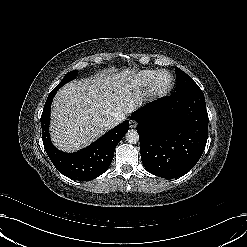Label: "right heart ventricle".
I'll list each match as a JSON object with an SVG mask.
<instances>
[{"instance_id":"1","label":"right heart ventricle","mask_w":247,"mask_h":247,"mask_svg":"<svg viewBox=\"0 0 247 247\" xmlns=\"http://www.w3.org/2000/svg\"><path fill=\"white\" fill-rule=\"evenodd\" d=\"M158 70H141L135 75V83L142 88L148 87Z\"/></svg>"}]
</instances>
